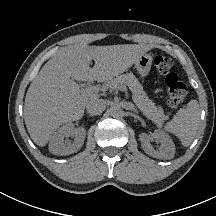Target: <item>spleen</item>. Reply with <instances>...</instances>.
Masks as SVG:
<instances>
[{"label": "spleen", "instance_id": "spleen-1", "mask_svg": "<svg viewBox=\"0 0 216 216\" xmlns=\"http://www.w3.org/2000/svg\"><path fill=\"white\" fill-rule=\"evenodd\" d=\"M199 122L198 101L191 100L184 109H180L173 119L165 124L164 129L177 136L184 147H188L196 135Z\"/></svg>", "mask_w": 216, "mask_h": 216}]
</instances>
